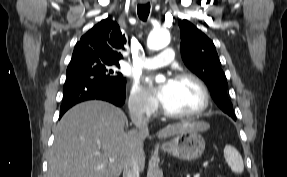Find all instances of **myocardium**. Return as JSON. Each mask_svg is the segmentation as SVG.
I'll return each instance as SVG.
<instances>
[{
	"instance_id": "obj_1",
	"label": "myocardium",
	"mask_w": 287,
	"mask_h": 177,
	"mask_svg": "<svg viewBox=\"0 0 287 177\" xmlns=\"http://www.w3.org/2000/svg\"><path fill=\"white\" fill-rule=\"evenodd\" d=\"M175 81H191L194 84L197 85V87L200 89L201 94H202V103L201 106L194 112L192 113H175L169 111L163 104H161V111L162 113L172 119H189V118H196L203 114L209 107L211 97L209 90L206 86V84L197 76L187 73V72H182L176 75Z\"/></svg>"
}]
</instances>
